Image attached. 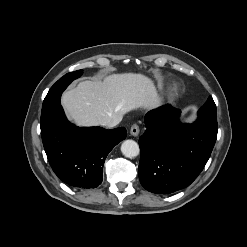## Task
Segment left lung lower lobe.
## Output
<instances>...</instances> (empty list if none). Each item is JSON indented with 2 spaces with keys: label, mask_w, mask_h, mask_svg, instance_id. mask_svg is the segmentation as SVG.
Segmentation results:
<instances>
[{
  "label": "left lung lower lobe",
  "mask_w": 247,
  "mask_h": 247,
  "mask_svg": "<svg viewBox=\"0 0 247 247\" xmlns=\"http://www.w3.org/2000/svg\"><path fill=\"white\" fill-rule=\"evenodd\" d=\"M180 110L165 105L145 116L139 139V179L154 193L169 194L189 186L206 165L214 147L215 128L179 122Z\"/></svg>",
  "instance_id": "0a47b994"
}]
</instances>
